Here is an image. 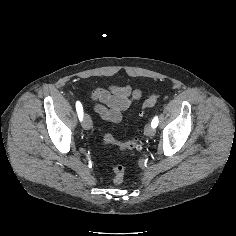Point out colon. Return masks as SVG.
Returning a JSON list of instances; mask_svg holds the SVG:
<instances>
[{
  "label": "colon",
  "instance_id": "5ec220e1",
  "mask_svg": "<svg viewBox=\"0 0 236 236\" xmlns=\"http://www.w3.org/2000/svg\"><path fill=\"white\" fill-rule=\"evenodd\" d=\"M159 95L154 94L147 98L142 104V110L153 107L159 101ZM104 145H114L122 151L134 152L139 151L142 148L141 140L138 136H134L127 141H121L112 135H105L102 139ZM113 183L121 184L124 179V168L120 165L112 167Z\"/></svg>",
  "mask_w": 236,
  "mask_h": 236
}]
</instances>
